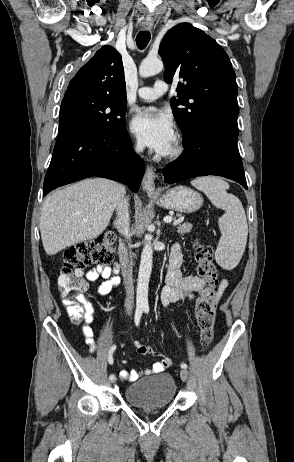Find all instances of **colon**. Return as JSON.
<instances>
[{
  "label": "colon",
  "mask_w": 294,
  "mask_h": 462,
  "mask_svg": "<svg viewBox=\"0 0 294 462\" xmlns=\"http://www.w3.org/2000/svg\"><path fill=\"white\" fill-rule=\"evenodd\" d=\"M113 233H103L92 240L71 246L64 254L63 266L58 277V287L70 319L79 323L84 314L81 294L87 288L84 270L91 265H108L113 259ZM194 257L197 272L204 286L196 302V319L202 347L209 346L214 337L218 274L214 265L213 249L200 242L195 243ZM148 353H159L148 347Z\"/></svg>",
  "instance_id": "colon-1"
}]
</instances>
